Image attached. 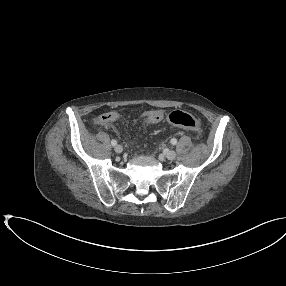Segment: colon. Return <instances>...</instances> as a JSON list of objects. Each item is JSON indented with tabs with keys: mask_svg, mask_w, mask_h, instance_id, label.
Returning <instances> with one entry per match:
<instances>
[{
	"mask_svg": "<svg viewBox=\"0 0 286 286\" xmlns=\"http://www.w3.org/2000/svg\"><path fill=\"white\" fill-rule=\"evenodd\" d=\"M168 122L176 127H181L191 131H199L200 122L191 114L183 111H173L168 115Z\"/></svg>",
	"mask_w": 286,
	"mask_h": 286,
	"instance_id": "5ec220e1",
	"label": "colon"
}]
</instances>
